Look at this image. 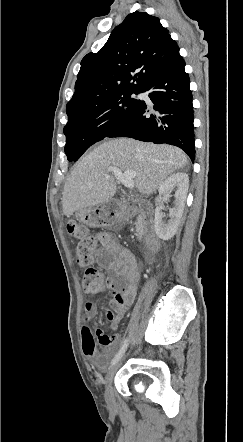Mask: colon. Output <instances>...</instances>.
Listing matches in <instances>:
<instances>
[{"label": "colon", "mask_w": 243, "mask_h": 442, "mask_svg": "<svg viewBox=\"0 0 243 442\" xmlns=\"http://www.w3.org/2000/svg\"><path fill=\"white\" fill-rule=\"evenodd\" d=\"M69 235L78 241L76 254L80 266L85 268L82 286L89 295H96L104 292L108 287V281L102 272L93 266V256L97 249V238L92 235L86 224L76 221L67 222Z\"/></svg>", "instance_id": "colon-1"}]
</instances>
